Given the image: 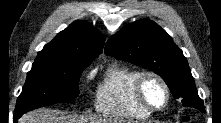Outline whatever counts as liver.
Instances as JSON below:
<instances>
[{"mask_svg":"<svg viewBox=\"0 0 221 123\" xmlns=\"http://www.w3.org/2000/svg\"><path fill=\"white\" fill-rule=\"evenodd\" d=\"M101 121L87 116L64 115L50 109L31 111L18 120L19 123H99Z\"/></svg>","mask_w":221,"mask_h":123,"instance_id":"liver-1","label":"liver"}]
</instances>
